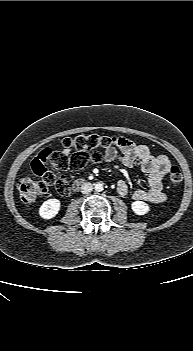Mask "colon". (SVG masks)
<instances>
[{"mask_svg": "<svg viewBox=\"0 0 193 351\" xmlns=\"http://www.w3.org/2000/svg\"><path fill=\"white\" fill-rule=\"evenodd\" d=\"M63 147L74 150V153L67 156L62 153L53 152L50 149H44L32 161V171L41 178V180H32L22 178L18 182V190L21 199L25 203L35 202L45 195L49 186L54 188L60 194L68 193V182L64 177H55L47 170V165L60 170H80L87 165L99 163L102 160V151L116 146L114 138L105 135H78L71 138H65L62 141ZM183 175L180 168L173 165L168 170V180L171 186H179L182 182Z\"/></svg>", "mask_w": 193, "mask_h": 351, "instance_id": "5ec220e1", "label": "colon"}]
</instances>
